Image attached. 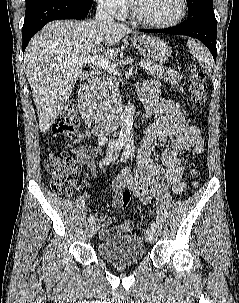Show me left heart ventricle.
<instances>
[{
	"label": "left heart ventricle",
	"instance_id": "obj_1",
	"mask_svg": "<svg viewBox=\"0 0 239 303\" xmlns=\"http://www.w3.org/2000/svg\"><path fill=\"white\" fill-rule=\"evenodd\" d=\"M134 3L144 18L155 22L171 20L181 10L180 0H134Z\"/></svg>",
	"mask_w": 239,
	"mask_h": 303
}]
</instances>
